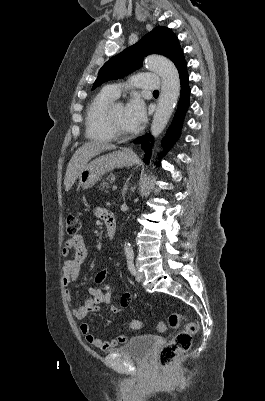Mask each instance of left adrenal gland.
Returning <instances> with one entry per match:
<instances>
[{"instance_id": "left-adrenal-gland-1", "label": "left adrenal gland", "mask_w": 265, "mask_h": 401, "mask_svg": "<svg viewBox=\"0 0 265 401\" xmlns=\"http://www.w3.org/2000/svg\"><path fill=\"white\" fill-rule=\"evenodd\" d=\"M128 182H129V178H127V182H125L123 188H122V194L123 196H125L127 190H128Z\"/></svg>"}]
</instances>
